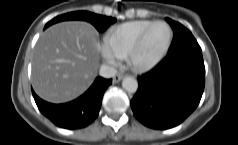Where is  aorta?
<instances>
[{
    "label": "aorta",
    "mask_w": 238,
    "mask_h": 145,
    "mask_svg": "<svg viewBox=\"0 0 238 145\" xmlns=\"http://www.w3.org/2000/svg\"><path fill=\"white\" fill-rule=\"evenodd\" d=\"M122 87L129 93H135L138 89V82L135 78L127 76L122 81Z\"/></svg>",
    "instance_id": "1"
}]
</instances>
